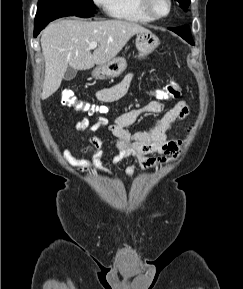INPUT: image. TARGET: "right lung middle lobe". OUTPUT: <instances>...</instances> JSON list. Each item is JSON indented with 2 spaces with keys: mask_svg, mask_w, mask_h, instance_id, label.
I'll use <instances>...</instances> for the list:
<instances>
[{
  "mask_svg": "<svg viewBox=\"0 0 243 289\" xmlns=\"http://www.w3.org/2000/svg\"><path fill=\"white\" fill-rule=\"evenodd\" d=\"M62 11L74 14H94L93 0H39V13Z\"/></svg>",
  "mask_w": 243,
  "mask_h": 289,
  "instance_id": "dd1d6c3e",
  "label": "right lung middle lobe"
}]
</instances>
